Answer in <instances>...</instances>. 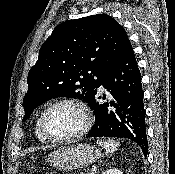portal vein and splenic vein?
I'll list each match as a JSON object with an SVG mask.
<instances>
[{
  "label": "portal vein and splenic vein",
  "mask_w": 175,
  "mask_h": 174,
  "mask_svg": "<svg viewBox=\"0 0 175 174\" xmlns=\"http://www.w3.org/2000/svg\"><path fill=\"white\" fill-rule=\"evenodd\" d=\"M95 173H96V169H92L91 174H95Z\"/></svg>",
  "instance_id": "obj_1"
}]
</instances>
